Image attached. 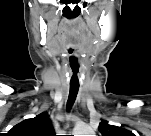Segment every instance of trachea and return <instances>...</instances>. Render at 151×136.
<instances>
[{
	"label": "trachea",
	"mask_w": 151,
	"mask_h": 136,
	"mask_svg": "<svg viewBox=\"0 0 151 136\" xmlns=\"http://www.w3.org/2000/svg\"><path fill=\"white\" fill-rule=\"evenodd\" d=\"M77 70L74 71L73 70V76L77 75ZM79 81H73V78H71L70 80V88H69V97H68V101H67V109L70 110L76 100L78 91H79Z\"/></svg>",
	"instance_id": "1"
}]
</instances>
